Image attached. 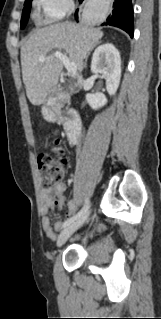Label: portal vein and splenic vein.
Here are the masks:
<instances>
[{
    "mask_svg": "<svg viewBox=\"0 0 161 319\" xmlns=\"http://www.w3.org/2000/svg\"><path fill=\"white\" fill-rule=\"evenodd\" d=\"M53 56L58 58L63 63V65L65 66V68L68 71L69 76H73L76 73L77 65L75 62L70 61L69 58L67 57V55H65L59 51H56L53 54ZM46 59H47L46 56L39 57V61H45Z\"/></svg>",
    "mask_w": 161,
    "mask_h": 319,
    "instance_id": "1",
    "label": "portal vein and splenic vein"
}]
</instances>
